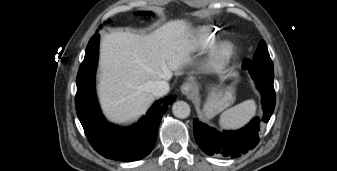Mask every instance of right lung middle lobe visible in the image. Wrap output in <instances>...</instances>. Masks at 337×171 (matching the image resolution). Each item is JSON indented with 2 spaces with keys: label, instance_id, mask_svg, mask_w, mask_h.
Segmentation results:
<instances>
[{
  "label": "right lung middle lobe",
  "instance_id": "obj_1",
  "mask_svg": "<svg viewBox=\"0 0 337 171\" xmlns=\"http://www.w3.org/2000/svg\"><path fill=\"white\" fill-rule=\"evenodd\" d=\"M149 14H151V12H138L137 13V15H140V16H142V15H149Z\"/></svg>",
  "mask_w": 337,
  "mask_h": 171
}]
</instances>
